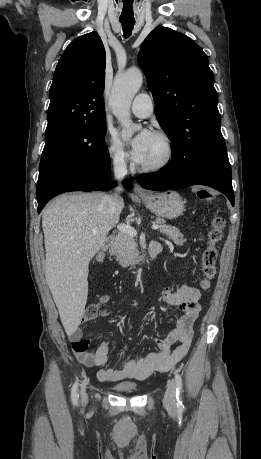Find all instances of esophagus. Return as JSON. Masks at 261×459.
<instances>
[{
	"label": "esophagus",
	"instance_id": "34e87169",
	"mask_svg": "<svg viewBox=\"0 0 261 459\" xmlns=\"http://www.w3.org/2000/svg\"><path fill=\"white\" fill-rule=\"evenodd\" d=\"M134 192L138 196H146L147 195V192L145 191V189L142 186H140L139 184H137V183L134 186Z\"/></svg>",
	"mask_w": 261,
	"mask_h": 459
}]
</instances>
